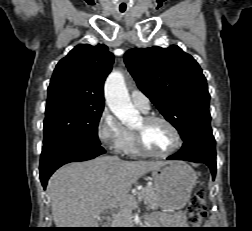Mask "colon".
<instances>
[{
	"label": "colon",
	"instance_id": "5ec220e1",
	"mask_svg": "<svg viewBox=\"0 0 252 231\" xmlns=\"http://www.w3.org/2000/svg\"><path fill=\"white\" fill-rule=\"evenodd\" d=\"M188 219L191 224H199L206 215L205 191L197 190L187 206Z\"/></svg>",
	"mask_w": 252,
	"mask_h": 231
}]
</instances>
